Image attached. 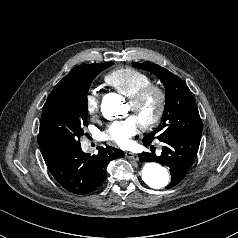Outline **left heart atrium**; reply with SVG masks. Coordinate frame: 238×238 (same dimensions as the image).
<instances>
[{"label": "left heart atrium", "mask_w": 238, "mask_h": 238, "mask_svg": "<svg viewBox=\"0 0 238 238\" xmlns=\"http://www.w3.org/2000/svg\"><path fill=\"white\" fill-rule=\"evenodd\" d=\"M139 123L134 117H129L109 125L105 131V138L120 147L131 145L132 138L138 133Z\"/></svg>", "instance_id": "39dd6f15"}]
</instances>
